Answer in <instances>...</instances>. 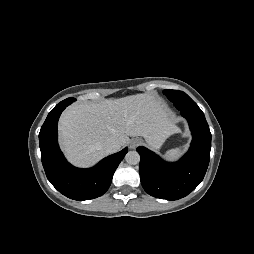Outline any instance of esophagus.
Masks as SVG:
<instances>
[{"label":"esophagus","instance_id":"34e87169","mask_svg":"<svg viewBox=\"0 0 254 254\" xmlns=\"http://www.w3.org/2000/svg\"><path fill=\"white\" fill-rule=\"evenodd\" d=\"M140 143H141V141L139 139H132L129 142V146L131 149H135Z\"/></svg>","mask_w":254,"mask_h":254}]
</instances>
